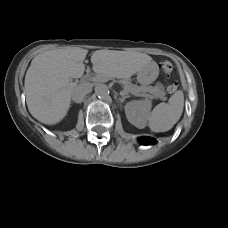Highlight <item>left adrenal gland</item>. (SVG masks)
Returning a JSON list of instances; mask_svg holds the SVG:
<instances>
[{"instance_id":"a2214340","label":"left adrenal gland","mask_w":228,"mask_h":228,"mask_svg":"<svg viewBox=\"0 0 228 228\" xmlns=\"http://www.w3.org/2000/svg\"><path fill=\"white\" fill-rule=\"evenodd\" d=\"M129 95L127 94H121V97L118 98L120 103H123L126 98H128Z\"/></svg>"}]
</instances>
